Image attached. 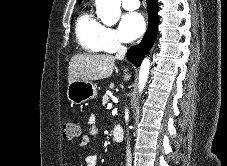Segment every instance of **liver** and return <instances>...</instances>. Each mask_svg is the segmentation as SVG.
Segmentation results:
<instances>
[{
	"label": "liver",
	"instance_id": "1",
	"mask_svg": "<svg viewBox=\"0 0 227 166\" xmlns=\"http://www.w3.org/2000/svg\"><path fill=\"white\" fill-rule=\"evenodd\" d=\"M115 67V57L107 54L74 55L68 67V82L75 80L85 82L109 78ZM125 79L129 76L125 75Z\"/></svg>",
	"mask_w": 227,
	"mask_h": 166
}]
</instances>
